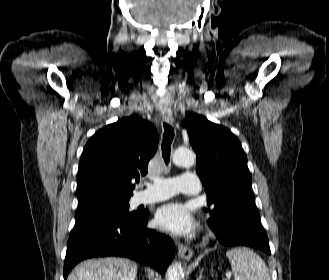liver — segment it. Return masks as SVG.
Here are the masks:
<instances>
[{
  "label": "liver",
  "mask_w": 329,
  "mask_h": 280,
  "mask_svg": "<svg viewBox=\"0 0 329 280\" xmlns=\"http://www.w3.org/2000/svg\"><path fill=\"white\" fill-rule=\"evenodd\" d=\"M138 266L129 259H90L74 268L67 280H135Z\"/></svg>",
  "instance_id": "1"
}]
</instances>
